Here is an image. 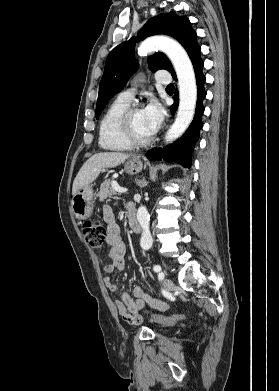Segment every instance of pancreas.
Segmentation results:
<instances>
[{"label":"pancreas","mask_w":279,"mask_h":391,"mask_svg":"<svg viewBox=\"0 0 279 391\" xmlns=\"http://www.w3.org/2000/svg\"><path fill=\"white\" fill-rule=\"evenodd\" d=\"M117 193L110 187V181H105L100 186V191L98 193V197L101 201L107 198H112L113 195H116Z\"/></svg>","instance_id":"cf45deb5"}]
</instances>
